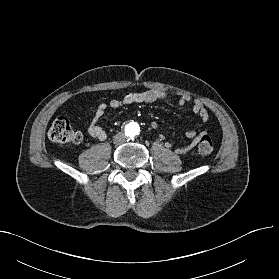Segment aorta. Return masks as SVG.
Here are the masks:
<instances>
[{"label":"aorta","instance_id":"aorta-1","mask_svg":"<svg viewBox=\"0 0 279 279\" xmlns=\"http://www.w3.org/2000/svg\"><path fill=\"white\" fill-rule=\"evenodd\" d=\"M125 131L127 132V134L131 137L136 136L139 133V125L136 122H129L128 124H126L125 126Z\"/></svg>","mask_w":279,"mask_h":279}]
</instances>
